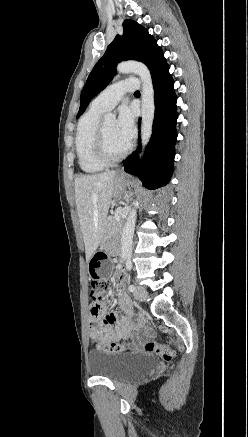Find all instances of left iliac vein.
Wrapping results in <instances>:
<instances>
[{
  "label": "left iliac vein",
  "instance_id": "4c4485c4",
  "mask_svg": "<svg viewBox=\"0 0 248 437\" xmlns=\"http://www.w3.org/2000/svg\"><path fill=\"white\" fill-rule=\"evenodd\" d=\"M134 297L139 301H144L147 298V291L142 286H137L134 290Z\"/></svg>",
  "mask_w": 248,
  "mask_h": 437
}]
</instances>
